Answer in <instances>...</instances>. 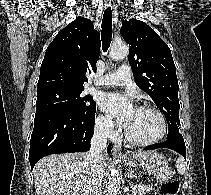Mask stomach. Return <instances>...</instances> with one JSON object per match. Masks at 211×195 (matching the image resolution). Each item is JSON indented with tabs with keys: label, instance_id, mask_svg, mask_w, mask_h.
<instances>
[{
	"label": "stomach",
	"instance_id": "obj_1",
	"mask_svg": "<svg viewBox=\"0 0 211 195\" xmlns=\"http://www.w3.org/2000/svg\"><path fill=\"white\" fill-rule=\"evenodd\" d=\"M122 162L125 166L133 168H143L145 172L153 176L158 182H166L172 176L169 161L162 154L153 152L138 160V162L130 158H123Z\"/></svg>",
	"mask_w": 211,
	"mask_h": 195
}]
</instances>
